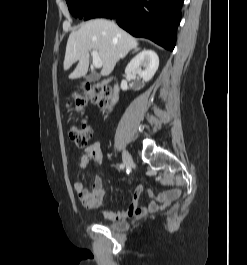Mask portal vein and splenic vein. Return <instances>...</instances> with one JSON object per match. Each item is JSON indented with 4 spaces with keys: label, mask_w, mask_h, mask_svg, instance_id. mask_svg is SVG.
<instances>
[{
    "label": "portal vein and splenic vein",
    "mask_w": 247,
    "mask_h": 265,
    "mask_svg": "<svg viewBox=\"0 0 247 265\" xmlns=\"http://www.w3.org/2000/svg\"><path fill=\"white\" fill-rule=\"evenodd\" d=\"M92 57H93V66L95 68H101L103 65L102 60L100 59L98 52L96 50L92 51Z\"/></svg>",
    "instance_id": "1"
}]
</instances>
